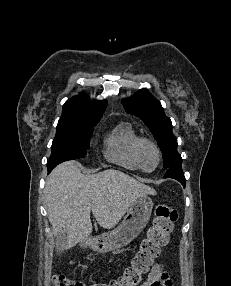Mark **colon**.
Here are the masks:
<instances>
[{"instance_id":"5ec220e1","label":"colon","mask_w":231,"mask_h":286,"mask_svg":"<svg viewBox=\"0 0 231 286\" xmlns=\"http://www.w3.org/2000/svg\"><path fill=\"white\" fill-rule=\"evenodd\" d=\"M177 220L176 209L165 204L157 206L152 225L147 230L130 264L119 277L108 282L86 284L64 275H55L52 280L53 286H137L160 255L161 248L167 244Z\"/></svg>"}]
</instances>
